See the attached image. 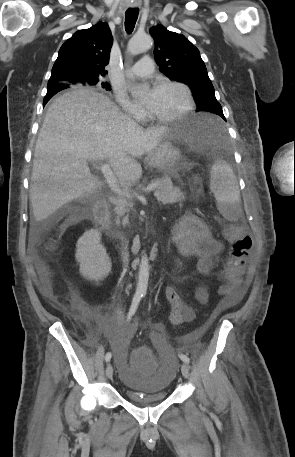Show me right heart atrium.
Returning a JSON list of instances; mask_svg holds the SVG:
<instances>
[{"instance_id": "1", "label": "right heart atrium", "mask_w": 295, "mask_h": 457, "mask_svg": "<svg viewBox=\"0 0 295 457\" xmlns=\"http://www.w3.org/2000/svg\"><path fill=\"white\" fill-rule=\"evenodd\" d=\"M115 97L121 108L132 118L135 120H142L145 116L144 109L138 105L137 103L133 102L126 92L121 89H116L114 91Z\"/></svg>"}]
</instances>
